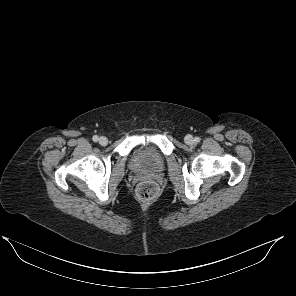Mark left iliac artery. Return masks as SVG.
<instances>
[{
    "label": "left iliac artery",
    "instance_id": "obj_1",
    "mask_svg": "<svg viewBox=\"0 0 296 296\" xmlns=\"http://www.w3.org/2000/svg\"><path fill=\"white\" fill-rule=\"evenodd\" d=\"M194 141H195L196 143H198V142L200 141V138H199V137H195Z\"/></svg>",
    "mask_w": 296,
    "mask_h": 296
}]
</instances>
